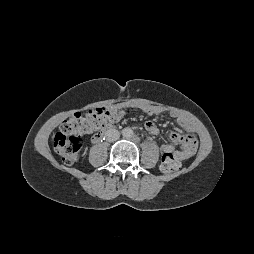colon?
Returning a JSON list of instances; mask_svg holds the SVG:
<instances>
[{"instance_id": "1", "label": "colon", "mask_w": 254, "mask_h": 254, "mask_svg": "<svg viewBox=\"0 0 254 254\" xmlns=\"http://www.w3.org/2000/svg\"><path fill=\"white\" fill-rule=\"evenodd\" d=\"M123 111L116 107H99L85 114L76 113L65 120L54 135L55 151L66 165H72L79 159L83 147V135L111 127ZM179 168V162L170 154L163 155L161 170L172 174Z\"/></svg>"}]
</instances>
